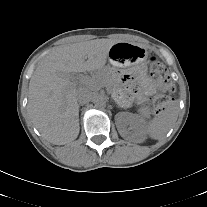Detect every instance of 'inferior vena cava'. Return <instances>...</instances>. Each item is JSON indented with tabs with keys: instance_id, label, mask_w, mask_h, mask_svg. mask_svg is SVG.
<instances>
[{
	"instance_id": "602c4592",
	"label": "inferior vena cava",
	"mask_w": 207,
	"mask_h": 207,
	"mask_svg": "<svg viewBox=\"0 0 207 207\" xmlns=\"http://www.w3.org/2000/svg\"><path fill=\"white\" fill-rule=\"evenodd\" d=\"M94 100V92L89 88H79L77 91V101L82 105Z\"/></svg>"
}]
</instances>
